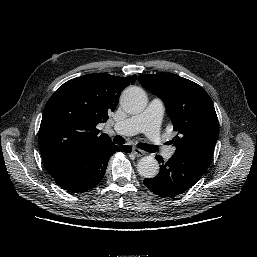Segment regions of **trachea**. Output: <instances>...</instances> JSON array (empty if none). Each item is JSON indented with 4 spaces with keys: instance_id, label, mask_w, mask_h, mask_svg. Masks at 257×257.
Segmentation results:
<instances>
[{
    "instance_id": "obj_1",
    "label": "trachea",
    "mask_w": 257,
    "mask_h": 257,
    "mask_svg": "<svg viewBox=\"0 0 257 257\" xmlns=\"http://www.w3.org/2000/svg\"><path fill=\"white\" fill-rule=\"evenodd\" d=\"M113 142L119 145H122L125 143V139L119 135L114 136L113 138ZM139 147L142 148L143 150L147 151V152H155L156 148L154 145H148L145 143H140Z\"/></svg>"
}]
</instances>
